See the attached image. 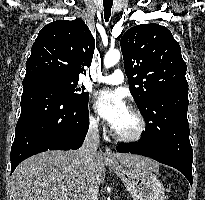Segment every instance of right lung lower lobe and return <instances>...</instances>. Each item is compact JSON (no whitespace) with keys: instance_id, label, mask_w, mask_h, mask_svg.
Returning a JSON list of instances; mask_svg holds the SVG:
<instances>
[{"instance_id":"right-lung-lower-lobe-1","label":"right lung lower lobe","mask_w":205,"mask_h":200,"mask_svg":"<svg viewBox=\"0 0 205 200\" xmlns=\"http://www.w3.org/2000/svg\"><path fill=\"white\" fill-rule=\"evenodd\" d=\"M21 114L11 147V173L24 159L46 150L78 149L89 125L88 102L70 99L54 84L24 80Z\"/></svg>"}]
</instances>
